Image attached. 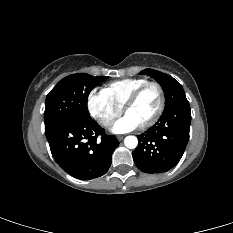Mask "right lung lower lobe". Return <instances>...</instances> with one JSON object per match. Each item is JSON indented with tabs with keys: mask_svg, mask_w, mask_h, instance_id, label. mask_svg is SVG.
I'll return each instance as SVG.
<instances>
[{
	"mask_svg": "<svg viewBox=\"0 0 233 233\" xmlns=\"http://www.w3.org/2000/svg\"><path fill=\"white\" fill-rule=\"evenodd\" d=\"M53 158L70 175L81 180L105 174L119 145L90 116L65 120L45 128Z\"/></svg>",
	"mask_w": 233,
	"mask_h": 233,
	"instance_id": "right-lung-lower-lobe-1",
	"label": "right lung lower lobe"
}]
</instances>
